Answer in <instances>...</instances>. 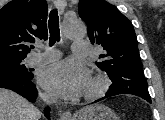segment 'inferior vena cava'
<instances>
[{"label": "inferior vena cava", "instance_id": "obj_1", "mask_svg": "<svg viewBox=\"0 0 165 120\" xmlns=\"http://www.w3.org/2000/svg\"><path fill=\"white\" fill-rule=\"evenodd\" d=\"M41 99L47 103V104H52L56 102V98L50 96V95H46V94H41Z\"/></svg>", "mask_w": 165, "mask_h": 120}]
</instances>
